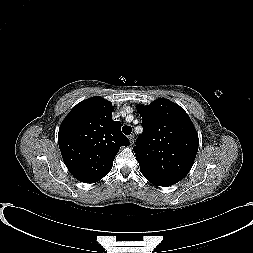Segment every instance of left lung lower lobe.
<instances>
[{
  "label": "left lung lower lobe",
  "mask_w": 253,
  "mask_h": 253,
  "mask_svg": "<svg viewBox=\"0 0 253 253\" xmlns=\"http://www.w3.org/2000/svg\"><path fill=\"white\" fill-rule=\"evenodd\" d=\"M149 181H150L152 184L156 185V186H165V185H162V184L156 183V182L151 181V180H149Z\"/></svg>",
  "instance_id": "0a47b994"
}]
</instances>
